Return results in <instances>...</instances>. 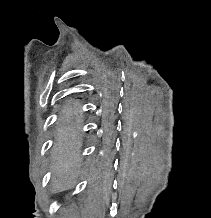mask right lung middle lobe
<instances>
[{
  "label": "right lung middle lobe",
  "mask_w": 211,
  "mask_h": 218,
  "mask_svg": "<svg viewBox=\"0 0 211 218\" xmlns=\"http://www.w3.org/2000/svg\"><path fill=\"white\" fill-rule=\"evenodd\" d=\"M78 107V104L76 102H69V103H66L64 108L66 110H74Z\"/></svg>",
  "instance_id": "1"
}]
</instances>
